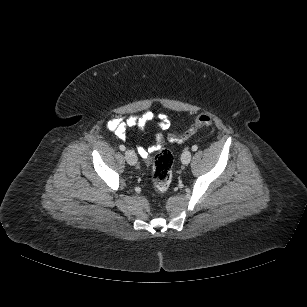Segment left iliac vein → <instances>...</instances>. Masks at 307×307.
<instances>
[{
	"label": "left iliac vein",
	"mask_w": 307,
	"mask_h": 307,
	"mask_svg": "<svg viewBox=\"0 0 307 307\" xmlns=\"http://www.w3.org/2000/svg\"><path fill=\"white\" fill-rule=\"evenodd\" d=\"M192 154L189 150H185L181 155V162L184 165H188L190 163Z\"/></svg>",
	"instance_id": "4c4485c4"
}]
</instances>
